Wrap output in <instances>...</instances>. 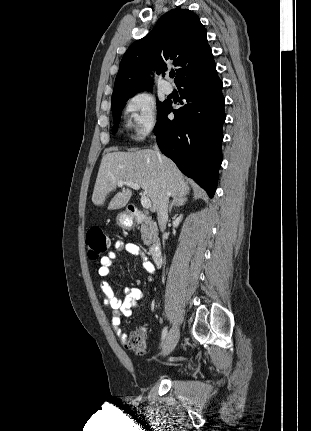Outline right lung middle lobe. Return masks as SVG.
<instances>
[{"label": "right lung middle lobe", "mask_w": 311, "mask_h": 431, "mask_svg": "<svg viewBox=\"0 0 311 431\" xmlns=\"http://www.w3.org/2000/svg\"><path fill=\"white\" fill-rule=\"evenodd\" d=\"M133 95H128V96H120L117 98H113L111 101V106H112V112H113V117H114V126L112 128L113 133L116 132L117 127L119 125L120 122V118H121V111L124 108L126 101ZM170 102L169 101H164V102H158L157 103V108H158V115L160 113H162L164 111V109L168 106Z\"/></svg>", "instance_id": "right-lung-middle-lobe-1"}]
</instances>
